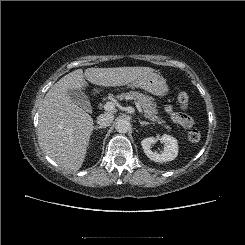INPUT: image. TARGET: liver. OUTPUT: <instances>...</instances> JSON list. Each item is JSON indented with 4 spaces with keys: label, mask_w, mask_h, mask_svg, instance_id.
Instances as JSON below:
<instances>
[{
    "label": "liver",
    "mask_w": 245,
    "mask_h": 245,
    "mask_svg": "<svg viewBox=\"0 0 245 245\" xmlns=\"http://www.w3.org/2000/svg\"><path fill=\"white\" fill-rule=\"evenodd\" d=\"M150 67L77 69L57 81L40 107L38 139L46 154L60 167L77 171L82 167L93 118L69 97L68 89H85L87 81L103 87L127 85L153 73Z\"/></svg>",
    "instance_id": "obj_1"
}]
</instances>
